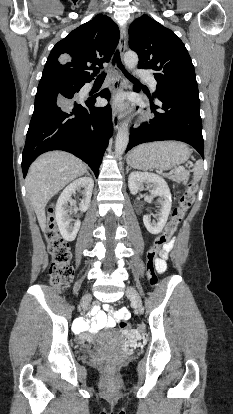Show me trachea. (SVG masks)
Wrapping results in <instances>:
<instances>
[{"label": "trachea", "mask_w": 233, "mask_h": 414, "mask_svg": "<svg viewBox=\"0 0 233 414\" xmlns=\"http://www.w3.org/2000/svg\"><path fill=\"white\" fill-rule=\"evenodd\" d=\"M115 63H117V66L119 67V69H121V71L125 74V76H126L127 78H129L131 81L138 82V80H137L136 78H134L132 75H130V74L126 71V69L124 68V66L122 65V62H121V59H120V54H119V51H116V53H115V55H114V57H113L112 64L114 65ZM105 77H106V73H105V72H102V73H101V74L97 77V79H105Z\"/></svg>", "instance_id": "obj_1"}]
</instances>
